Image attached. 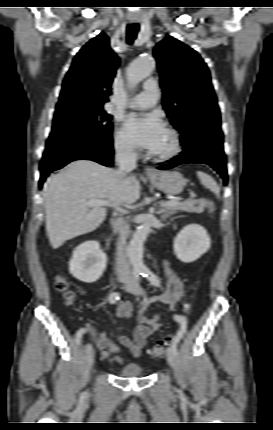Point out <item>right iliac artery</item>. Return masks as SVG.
<instances>
[{"mask_svg":"<svg viewBox=\"0 0 273 430\" xmlns=\"http://www.w3.org/2000/svg\"><path fill=\"white\" fill-rule=\"evenodd\" d=\"M135 278H139V276L140 275H142L141 273H139V272H135ZM120 299V294L118 293V292H112L110 295H109V297H108V302L110 303V304H114V303H116L118 300ZM84 332L82 331V330H77V333H76V338H75V340H76V343L78 344V345H80L81 344V337L83 336L82 334H83Z\"/></svg>","mask_w":273,"mask_h":430,"instance_id":"obj_1","label":"right iliac artery"}]
</instances>
